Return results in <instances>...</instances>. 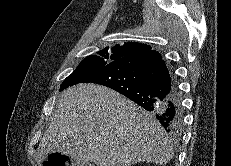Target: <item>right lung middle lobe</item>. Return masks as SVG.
Returning a JSON list of instances; mask_svg holds the SVG:
<instances>
[{
  "label": "right lung middle lobe",
  "instance_id": "dd1d6c3e",
  "mask_svg": "<svg viewBox=\"0 0 231 166\" xmlns=\"http://www.w3.org/2000/svg\"><path fill=\"white\" fill-rule=\"evenodd\" d=\"M116 60L115 56L109 53H99L98 55H90L86 57L76 68V70L68 76L60 86V91L63 89L82 82L86 78L95 74L107 64Z\"/></svg>",
  "mask_w": 231,
  "mask_h": 166
}]
</instances>
